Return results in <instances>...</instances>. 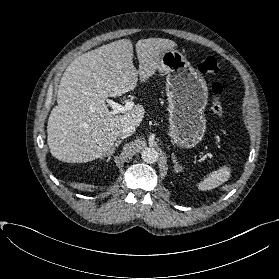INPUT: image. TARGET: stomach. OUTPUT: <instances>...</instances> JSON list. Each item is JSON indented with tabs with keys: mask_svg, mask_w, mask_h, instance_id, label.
Masks as SVG:
<instances>
[{
	"mask_svg": "<svg viewBox=\"0 0 279 279\" xmlns=\"http://www.w3.org/2000/svg\"><path fill=\"white\" fill-rule=\"evenodd\" d=\"M158 71L166 75L170 137L180 147H194L203 139L206 130L207 83L174 48L161 54Z\"/></svg>",
	"mask_w": 279,
	"mask_h": 279,
	"instance_id": "1",
	"label": "stomach"
}]
</instances>
